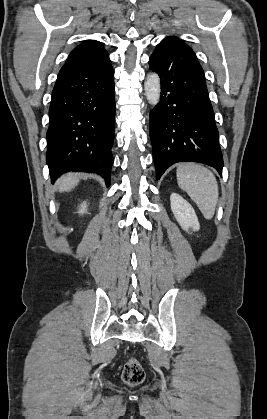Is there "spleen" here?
Returning a JSON list of instances; mask_svg holds the SVG:
<instances>
[{
    "mask_svg": "<svg viewBox=\"0 0 267 419\" xmlns=\"http://www.w3.org/2000/svg\"><path fill=\"white\" fill-rule=\"evenodd\" d=\"M178 186L187 192L203 216L210 220L218 202V183L214 174L195 163L180 164L176 172Z\"/></svg>",
    "mask_w": 267,
    "mask_h": 419,
    "instance_id": "spleen-1",
    "label": "spleen"
}]
</instances>
